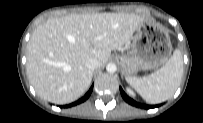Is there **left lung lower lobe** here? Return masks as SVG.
<instances>
[{
  "instance_id": "left-lung-lower-lobe-1",
  "label": "left lung lower lobe",
  "mask_w": 203,
  "mask_h": 123,
  "mask_svg": "<svg viewBox=\"0 0 203 123\" xmlns=\"http://www.w3.org/2000/svg\"><path fill=\"white\" fill-rule=\"evenodd\" d=\"M120 92H121V95H122L123 99L126 102H128L129 104L133 105V106L140 107V108H145V109L155 108V107L158 106V105H153L152 106V105L139 104L136 101H134L133 99L129 98L121 88H120Z\"/></svg>"
}]
</instances>
